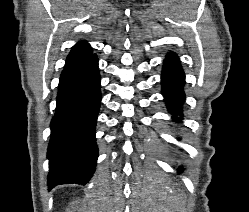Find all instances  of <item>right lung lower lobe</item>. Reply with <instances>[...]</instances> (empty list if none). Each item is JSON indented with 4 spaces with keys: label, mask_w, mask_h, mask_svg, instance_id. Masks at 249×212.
<instances>
[{
    "label": "right lung lower lobe",
    "mask_w": 249,
    "mask_h": 212,
    "mask_svg": "<svg viewBox=\"0 0 249 212\" xmlns=\"http://www.w3.org/2000/svg\"><path fill=\"white\" fill-rule=\"evenodd\" d=\"M100 101L96 54L64 68L47 153L49 189L61 184L84 185L91 179L98 157L95 128Z\"/></svg>",
    "instance_id": "1"
}]
</instances>
